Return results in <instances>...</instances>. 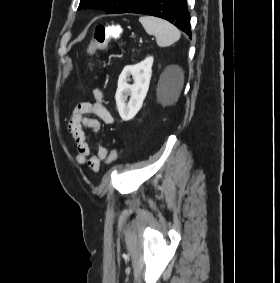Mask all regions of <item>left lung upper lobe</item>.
<instances>
[{
    "label": "left lung upper lobe",
    "mask_w": 280,
    "mask_h": 283,
    "mask_svg": "<svg viewBox=\"0 0 280 283\" xmlns=\"http://www.w3.org/2000/svg\"><path fill=\"white\" fill-rule=\"evenodd\" d=\"M141 0H81L78 9L101 8L107 14L125 13Z\"/></svg>",
    "instance_id": "1"
}]
</instances>
